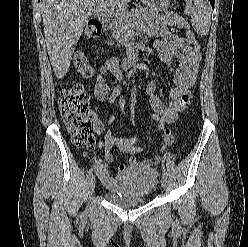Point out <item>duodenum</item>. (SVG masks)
<instances>
[{"instance_id": "duodenum-1", "label": "duodenum", "mask_w": 248, "mask_h": 247, "mask_svg": "<svg viewBox=\"0 0 248 247\" xmlns=\"http://www.w3.org/2000/svg\"><path fill=\"white\" fill-rule=\"evenodd\" d=\"M97 26L99 27V29H103L106 27V22L104 19H99L97 20ZM133 62V58L131 57L125 64V67H128L131 63Z\"/></svg>"}]
</instances>
